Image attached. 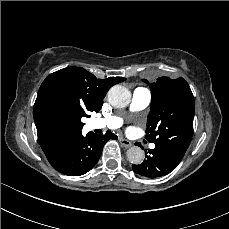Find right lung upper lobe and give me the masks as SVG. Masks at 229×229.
Here are the masks:
<instances>
[{"instance_id": "1", "label": "right lung upper lobe", "mask_w": 229, "mask_h": 229, "mask_svg": "<svg viewBox=\"0 0 229 229\" xmlns=\"http://www.w3.org/2000/svg\"><path fill=\"white\" fill-rule=\"evenodd\" d=\"M124 80L123 77L97 79L84 68L75 66L58 70L47 76L38 91L33 108L38 141L47 159H50L66 141L81 132L82 128L69 132L50 128L43 117L45 103L51 97L64 96L77 103L86 114L89 111L98 112L108 90Z\"/></svg>"}]
</instances>
